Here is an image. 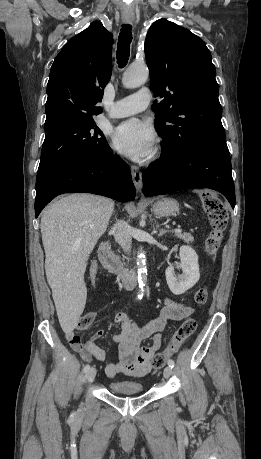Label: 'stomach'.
<instances>
[{"instance_id":"0dacf381","label":"stomach","mask_w":261,"mask_h":459,"mask_svg":"<svg viewBox=\"0 0 261 459\" xmlns=\"http://www.w3.org/2000/svg\"><path fill=\"white\" fill-rule=\"evenodd\" d=\"M153 212L160 217L173 216L179 212V204L173 198H162L153 203Z\"/></svg>"}]
</instances>
